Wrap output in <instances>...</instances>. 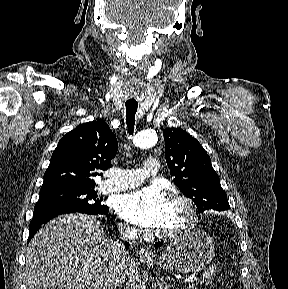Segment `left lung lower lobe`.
<instances>
[{"mask_svg":"<svg viewBox=\"0 0 288 289\" xmlns=\"http://www.w3.org/2000/svg\"><path fill=\"white\" fill-rule=\"evenodd\" d=\"M163 244V242H157V243H155V248H158V247H160L161 245Z\"/></svg>","mask_w":288,"mask_h":289,"instance_id":"obj_1","label":"left lung lower lobe"}]
</instances>
